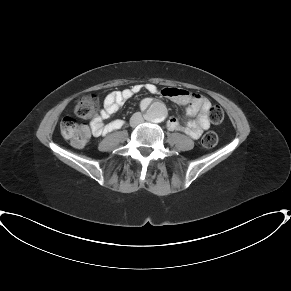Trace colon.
Returning <instances> with one entry per match:
<instances>
[{
    "mask_svg": "<svg viewBox=\"0 0 291 291\" xmlns=\"http://www.w3.org/2000/svg\"><path fill=\"white\" fill-rule=\"evenodd\" d=\"M98 107V97L87 94L77 102L75 113L79 119H90L96 113ZM208 116L213 123L219 124L223 121L224 112L220 106L214 105L209 109ZM60 129L62 136L76 147H83L91 138V126L88 123H80L73 117H65L61 122ZM217 141L216 133L208 132L202 138V145L205 148H212Z\"/></svg>",
    "mask_w": 291,
    "mask_h": 291,
    "instance_id": "5ec220e1",
    "label": "colon"
}]
</instances>
